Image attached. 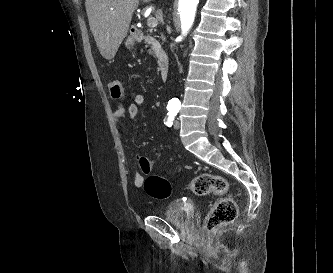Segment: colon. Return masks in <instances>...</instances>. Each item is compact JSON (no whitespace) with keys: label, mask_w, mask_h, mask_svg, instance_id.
<instances>
[{"label":"colon","mask_w":333,"mask_h":273,"mask_svg":"<svg viewBox=\"0 0 333 273\" xmlns=\"http://www.w3.org/2000/svg\"><path fill=\"white\" fill-rule=\"evenodd\" d=\"M108 89L114 100L122 99L123 87L119 81H111ZM138 161L140 170L144 174H149L152 162L146 157H140ZM144 188L149 196L157 199L168 198L172 190L169 181L158 175L149 176L145 180ZM189 188L195 195H214L216 197L204 222L205 232L212 233L222 225L235 220L237 205L232 198L225 195L228 190V182L224 177L211 173L199 174L192 179Z\"/></svg>","instance_id":"1"}]
</instances>
